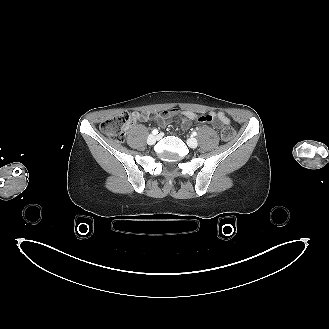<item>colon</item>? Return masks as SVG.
<instances>
[{
    "label": "colon",
    "instance_id": "5ec220e1",
    "mask_svg": "<svg viewBox=\"0 0 329 329\" xmlns=\"http://www.w3.org/2000/svg\"><path fill=\"white\" fill-rule=\"evenodd\" d=\"M134 114L124 112L115 117L104 120L101 125V131L104 135L116 141H123L127 127L135 121ZM234 129L230 125H225L221 131L224 140H230L234 137Z\"/></svg>",
    "mask_w": 329,
    "mask_h": 329
}]
</instances>
